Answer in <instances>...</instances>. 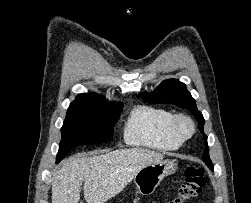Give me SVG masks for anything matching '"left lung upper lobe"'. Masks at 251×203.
<instances>
[{"label":"left lung upper lobe","instance_id":"left-lung-upper-lobe-1","mask_svg":"<svg viewBox=\"0 0 251 203\" xmlns=\"http://www.w3.org/2000/svg\"><path fill=\"white\" fill-rule=\"evenodd\" d=\"M139 96L150 103H169L182 108H187L196 117L199 123V129L203 132L205 120L201 112L196 107L195 99L188 92L184 83L175 79H168L163 82L151 93H140ZM207 144V136L204 134ZM202 160L213 171V164L209 158V149L206 147Z\"/></svg>","mask_w":251,"mask_h":203}]
</instances>
